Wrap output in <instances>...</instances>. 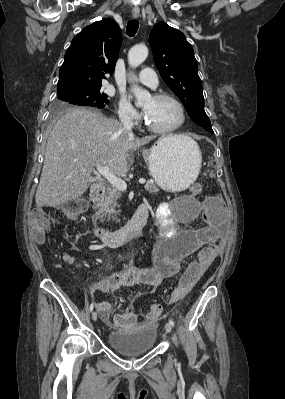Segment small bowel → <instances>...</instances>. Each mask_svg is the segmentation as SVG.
Returning a JSON list of instances; mask_svg holds the SVG:
<instances>
[{"label": "small bowel", "instance_id": "small-bowel-1", "mask_svg": "<svg viewBox=\"0 0 285 399\" xmlns=\"http://www.w3.org/2000/svg\"><path fill=\"white\" fill-rule=\"evenodd\" d=\"M188 197L191 199L190 196ZM141 205H144L149 211L148 203L144 202ZM183 211L186 215L181 217L173 213L169 202H160L155 209V220L160 236L153 244L151 267H126L117 270L103 279L93 280L90 283L91 290L100 289L104 293H110L113 290L126 287H151L159 285L164 279L181 276L184 259L195 251L200 258L201 251L205 246L220 241V227L224 222L221 203L216 197H208L196 206L187 204ZM199 216L203 218V227L180 226L181 223L193 224ZM189 292L180 296L178 289H175L171 296V302H180ZM140 297V294L133 295L129 310L113 317L110 316L112 308L110 301L99 302L95 308L108 327L117 330H130L140 325L138 315L133 309V302ZM152 321L149 320V322Z\"/></svg>", "mask_w": 285, "mask_h": 399}]
</instances>
